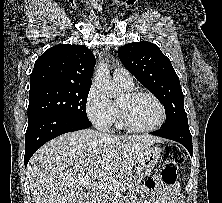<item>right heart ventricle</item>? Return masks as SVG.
Here are the masks:
<instances>
[{
    "label": "right heart ventricle",
    "mask_w": 222,
    "mask_h": 203,
    "mask_svg": "<svg viewBox=\"0 0 222 203\" xmlns=\"http://www.w3.org/2000/svg\"><path fill=\"white\" fill-rule=\"evenodd\" d=\"M124 89L127 90V91L131 90V88L130 89L124 88ZM115 109H116L115 120H114L115 126H116V128H119V129L124 128V125L122 124L120 116H119L118 105L117 104H115Z\"/></svg>",
    "instance_id": "1"
}]
</instances>
